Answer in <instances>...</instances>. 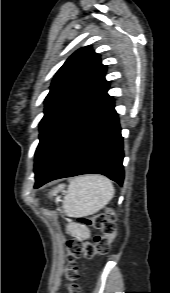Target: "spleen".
Instances as JSON below:
<instances>
[{"instance_id": "1", "label": "spleen", "mask_w": 170, "mask_h": 293, "mask_svg": "<svg viewBox=\"0 0 170 293\" xmlns=\"http://www.w3.org/2000/svg\"><path fill=\"white\" fill-rule=\"evenodd\" d=\"M113 195L114 187L107 177L79 176L70 182L63 200V208L69 217L89 216L101 210Z\"/></svg>"}]
</instances>
